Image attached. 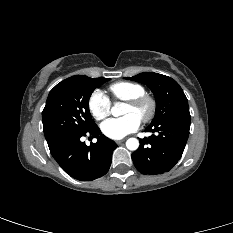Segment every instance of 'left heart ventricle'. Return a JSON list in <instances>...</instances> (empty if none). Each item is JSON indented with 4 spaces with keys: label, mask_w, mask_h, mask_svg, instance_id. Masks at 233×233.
I'll list each match as a JSON object with an SVG mask.
<instances>
[{
    "label": "left heart ventricle",
    "mask_w": 233,
    "mask_h": 233,
    "mask_svg": "<svg viewBox=\"0 0 233 233\" xmlns=\"http://www.w3.org/2000/svg\"><path fill=\"white\" fill-rule=\"evenodd\" d=\"M147 110H148L147 105H143L139 108L134 109L126 104L123 109V114L124 115L133 114L140 119L147 112Z\"/></svg>",
    "instance_id": "left-heart-ventricle-1"
}]
</instances>
